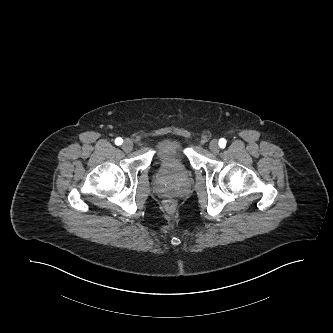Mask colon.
<instances>
[{
  "instance_id": "1",
  "label": "colon",
  "mask_w": 333,
  "mask_h": 333,
  "mask_svg": "<svg viewBox=\"0 0 333 333\" xmlns=\"http://www.w3.org/2000/svg\"><path fill=\"white\" fill-rule=\"evenodd\" d=\"M167 206H168L169 208H172V207H173V202H172V201H168V202H167Z\"/></svg>"
}]
</instances>
